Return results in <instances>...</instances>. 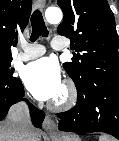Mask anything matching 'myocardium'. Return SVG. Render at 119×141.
Segmentation results:
<instances>
[{"label": "myocardium", "instance_id": "f54148a6", "mask_svg": "<svg viewBox=\"0 0 119 141\" xmlns=\"http://www.w3.org/2000/svg\"><path fill=\"white\" fill-rule=\"evenodd\" d=\"M77 101V89L71 80H66L62 86V96L50 102V108L64 111L72 108Z\"/></svg>", "mask_w": 119, "mask_h": 141}]
</instances>
